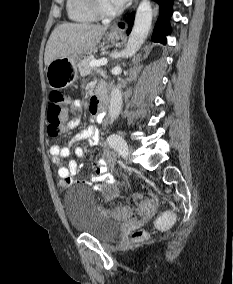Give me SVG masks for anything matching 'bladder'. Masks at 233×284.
Listing matches in <instances>:
<instances>
[{"label":"bladder","instance_id":"obj_1","mask_svg":"<svg viewBox=\"0 0 233 284\" xmlns=\"http://www.w3.org/2000/svg\"><path fill=\"white\" fill-rule=\"evenodd\" d=\"M104 192L107 197L115 193L113 188ZM64 208L71 229L77 233L109 242L120 232L119 224L98 206L94 193L87 187L70 188L64 196Z\"/></svg>","mask_w":233,"mask_h":284}]
</instances>
